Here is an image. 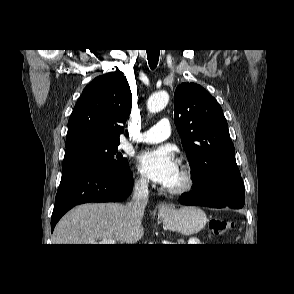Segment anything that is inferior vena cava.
Listing matches in <instances>:
<instances>
[{
  "label": "inferior vena cava",
  "instance_id": "inferior-vena-cava-1",
  "mask_svg": "<svg viewBox=\"0 0 294 294\" xmlns=\"http://www.w3.org/2000/svg\"><path fill=\"white\" fill-rule=\"evenodd\" d=\"M148 198V182L146 179H140L135 183L132 200L127 205L131 218L136 224L142 221Z\"/></svg>",
  "mask_w": 294,
  "mask_h": 294
}]
</instances>
